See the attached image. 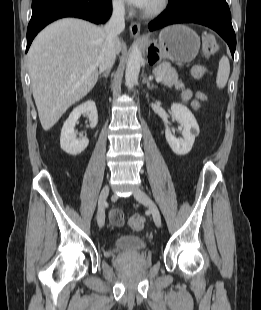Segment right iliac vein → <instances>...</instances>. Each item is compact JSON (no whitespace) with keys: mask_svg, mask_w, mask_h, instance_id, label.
Segmentation results:
<instances>
[{"mask_svg":"<svg viewBox=\"0 0 261 310\" xmlns=\"http://www.w3.org/2000/svg\"><path fill=\"white\" fill-rule=\"evenodd\" d=\"M108 195H109V186L106 185L103 187V189L100 193V196H99V200H98L97 221H98V225L100 228H102L104 226V223H105V205H106Z\"/></svg>","mask_w":261,"mask_h":310,"instance_id":"1","label":"right iliac vein"}]
</instances>
